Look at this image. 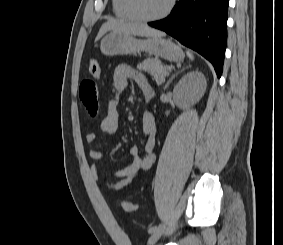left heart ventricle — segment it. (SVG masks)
<instances>
[{
  "instance_id": "1",
  "label": "left heart ventricle",
  "mask_w": 283,
  "mask_h": 245,
  "mask_svg": "<svg viewBox=\"0 0 283 245\" xmlns=\"http://www.w3.org/2000/svg\"><path fill=\"white\" fill-rule=\"evenodd\" d=\"M168 0H135L137 11L144 16H155L166 7Z\"/></svg>"
}]
</instances>
